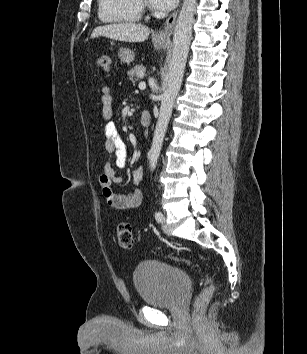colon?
I'll return each instance as SVG.
<instances>
[{"instance_id":"colon-1","label":"colon","mask_w":307,"mask_h":354,"mask_svg":"<svg viewBox=\"0 0 307 354\" xmlns=\"http://www.w3.org/2000/svg\"><path fill=\"white\" fill-rule=\"evenodd\" d=\"M98 66L107 71L111 66V56L109 54L101 55L97 60ZM117 240L123 249L131 250L134 246V239L132 228L128 223L122 222L117 227ZM173 260L184 263L186 265H191L192 263L185 259L179 257H172ZM214 292V285L212 278L206 274L204 277L203 287L197 297L195 303V315L199 316L201 310L209 302Z\"/></svg>"}]
</instances>
